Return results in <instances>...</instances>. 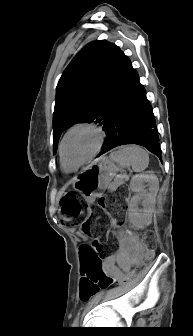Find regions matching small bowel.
<instances>
[{
    "label": "small bowel",
    "mask_w": 193,
    "mask_h": 336,
    "mask_svg": "<svg viewBox=\"0 0 193 336\" xmlns=\"http://www.w3.org/2000/svg\"><path fill=\"white\" fill-rule=\"evenodd\" d=\"M119 250L102 261L103 268L106 274L119 278L121 274L128 271L134 262H138L143 254L135 237L128 236L127 234H120L119 237ZM81 273L83 276L84 291H95L92 285L86 282V273L82 269L81 259Z\"/></svg>",
    "instance_id": "small-bowel-1"
}]
</instances>
